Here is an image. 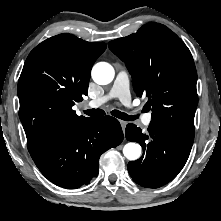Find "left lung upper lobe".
<instances>
[{"label": "left lung upper lobe", "instance_id": "left-lung-upper-lobe-1", "mask_svg": "<svg viewBox=\"0 0 221 221\" xmlns=\"http://www.w3.org/2000/svg\"><path fill=\"white\" fill-rule=\"evenodd\" d=\"M108 46L124 61L137 96L148 97L152 121L194 134L197 73L184 42L166 26L148 23Z\"/></svg>", "mask_w": 221, "mask_h": 221}]
</instances>
